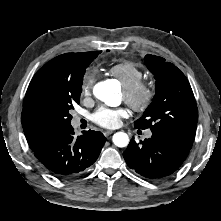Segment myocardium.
Here are the masks:
<instances>
[{
	"mask_svg": "<svg viewBox=\"0 0 221 221\" xmlns=\"http://www.w3.org/2000/svg\"><path fill=\"white\" fill-rule=\"evenodd\" d=\"M124 98L136 111L147 110L155 97V87L152 82L140 81L132 86L124 87Z\"/></svg>",
	"mask_w": 221,
	"mask_h": 221,
	"instance_id": "obj_1",
	"label": "myocardium"
}]
</instances>
